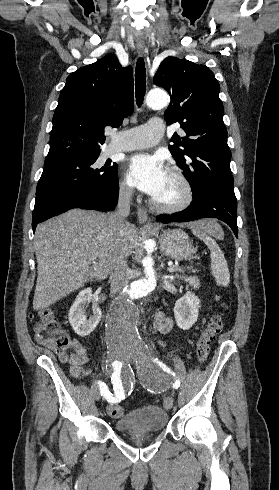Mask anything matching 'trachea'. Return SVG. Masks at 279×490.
<instances>
[{
    "mask_svg": "<svg viewBox=\"0 0 279 490\" xmlns=\"http://www.w3.org/2000/svg\"><path fill=\"white\" fill-rule=\"evenodd\" d=\"M135 95L137 104L140 106L143 102L146 92V69L143 58H139L135 69Z\"/></svg>",
    "mask_w": 279,
    "mask_h": 490,
    "instance_id": "3493384b",
    "label": "trachea"
}]
</instances>
